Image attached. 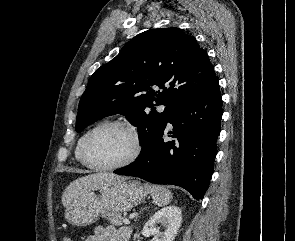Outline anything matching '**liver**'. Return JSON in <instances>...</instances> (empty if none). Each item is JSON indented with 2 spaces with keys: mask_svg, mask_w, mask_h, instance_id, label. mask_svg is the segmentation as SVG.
<instances>
[{
  "mask_svg": "<svg viewBox=\"0 0 295 241\" xmlns=\"http://www.w3.org/2000/svg\"><path fill=\"white\" fill-rule=\"evenodd\" d=\"M121 180H125V178L106 172L82 176L66 187L62 195V204L64 207H67L73 199L80 195L89 191L98 190L105 185H111Z\"/></svg>",
  "mask_w": 295,
  "mask_h": 241,
  "instance_id": "1",
  "label": "liver"
}]
</instances>
